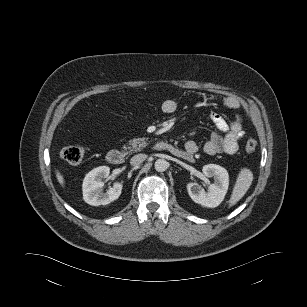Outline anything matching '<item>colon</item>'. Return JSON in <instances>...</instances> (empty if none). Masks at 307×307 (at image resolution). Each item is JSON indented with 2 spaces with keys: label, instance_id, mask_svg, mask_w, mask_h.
Segmentation results:
<instances>
[{
  "label": "colon",
  "instance_id": "1",
  "mask_svg": "<svg viewBox=\"0 0 307 307\" xmlns=\"http://www.w3.org/2000/svg\"><path fill=\"white\" fill-rule=\"evenodd\" d=\"M258 144L254 138H249L245 143V151L252 154L257 150ZM63 160L69 164H78L82 161L84 151L79 146H67L61 150L60 153Z\"/></svg>",
  "mask_w": 307,
  "mask_h": 307
}]
</instances>
